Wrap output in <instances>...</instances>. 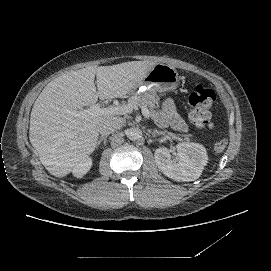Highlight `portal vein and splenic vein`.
<instances>
[{
	"instance_id": "18ae733b",
	"label": "portal vein and splenic vein",
	"mask_w": 271,
	"mask_h": 271,
	"mask_svg": "<svg viewBox=\"0 0 271 271\" xmlns=\"http://www.w3.org/2000/svg\"><path fill=\"white\" fill-rule=\"evenodd\" d=\"M106 109L107 108L105 109L101 108L100 104H94V105H91L88 109L71 112V115L75 117H88L91 115H101L106 112ZM133 109H137V107L132 106L131 104H128L126 106H121V107H110V109H108V112L113 113L115 115L127 114V113H131ZM142 114L144 117H149L150 112L146 106L142 107Z\"/></svg>"
}]
</instances>
